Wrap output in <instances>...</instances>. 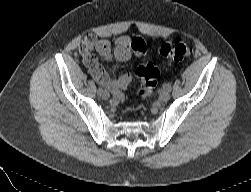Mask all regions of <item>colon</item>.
I'll list each match as a JSON object with an SVG mask.
<instances>
[{"instance_id":"5ec220e1","label":"colon","mask_w":251,"mask_h":192,"mask_svg":"<svg viewBox=\"0 0 251 192\" xmlns=\"http://www.w3.org/2000/svg\"><path fill=\"white\" fill-rule=\"evenodd\" d=\"M159 53L164 57L172 58L175 61H187L192 56V50L182 42L162 43ZM136 77L140 80L139 94L143 98L150 97L157 84L159 77L158 68L152 63H146L139 66L135 71Z\"/></svg>"}]
</instances>
